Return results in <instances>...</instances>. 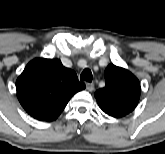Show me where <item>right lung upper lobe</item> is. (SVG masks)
Instances as JSON below:
<instances>
[{
  "instance_id": "cb5924a9",
  "label": "right lung upper lobe",
  "mask_w": 165,
  "mask_h": 154,
  "mask_svg": "<svg viewBox=\"0 0 165 154\" xmlns=\"http://www.w3.org/2000/svg\"><path fill=\"white\" fill-rule=\"evenodd\" d=\"M84 88L76 73L65 68L59 59L32 60L16 81L22 107L41 121L56 119L70 98Z\"/></svg>"
}]
</instances>
